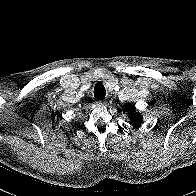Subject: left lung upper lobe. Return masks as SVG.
Returning <instances> with one entry per match:
<instances>
[{
	"label": "left lung upper lobe",
	"instance_id": "obj_1",
	"mask_svg": "<svg viewBox=\"0 0 196 196\" xmlns=\"http://www.w3.org/2000/svg\"><path fill=\"white\" fill-rule=\"evenodd\" d=\"M134 109V105L129 106L131 124L134 126H138L141 123L142 117L139 113H134Z\"/></svg>",
	"mask_w": 196,
	"mask_h": 196
}]
</instances>
